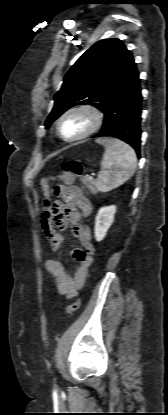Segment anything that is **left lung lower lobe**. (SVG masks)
<instances>
[{"label": "left lung lower lobe", "instance_id": "left-lung-lower-lobe-1", "mask_svg": "<svg viewBox=\"0 0 168 415\" xmlns=\"http://www.w3.org/2000/svg\"><path fill=\"white\" fill-rule=\"evenodd\" d=\"M141 87L136 72L114 95L104 110L101 130L93 137L113 136L131 145L140 157L141 138Z\"/></svg>", "mask_w": 168, "mask_h": 415}]
</instances>
